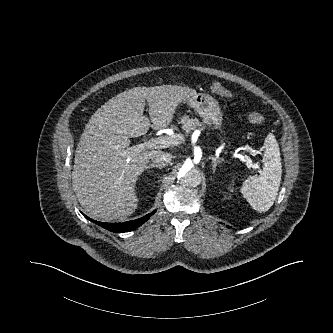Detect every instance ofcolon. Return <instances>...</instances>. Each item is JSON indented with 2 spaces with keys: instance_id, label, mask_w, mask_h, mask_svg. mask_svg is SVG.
Listing matches in <instances>:
<instances>
[{
  "instance_id": "obj_1",
  "label": "colon",
  "mask_w": 333,
  "mask_h": 333,
  "mask_svg": "<svg viewBox=\"0 0 333 333\" xmlns=\"http://www.w3.org/2000/svg\"><path fill=\"white\" fill-rule=\"evenodd\" d=\"M211 91L217 95H220L225 98H232L233 94L227 88H225L220 83H213L211 85ZM248 120L252 124H263L265 122V118L262 114L258 112H250L247 116Z\"/></svg>"
}]
</instances>
